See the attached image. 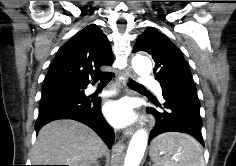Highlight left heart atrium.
I'll list each match as a JSON object with an SVG mask.
<instances>
[{"mask_svg":"<svg viewBox=\"0 0 236 166\" xmlns=\"http://www.w3.org/2000/svg\"><path fill=\"white\" fill-rule=\"evenodd\" d=\"M104 114L107 120L116 127L129 125L135 120L132 103L127 99L107 104Z\"/></svg>","mask_w":236,"mask_h":166,"instance_id":"39dd6f15","label":"left heart atrium"}]
</instances>
